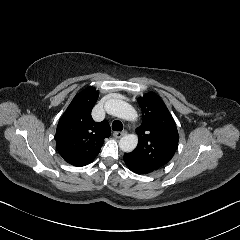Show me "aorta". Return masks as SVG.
I'll return each instance as SVG.
<instances>
[{
    "label": "aorta",
    "mask_w": 240,
    "mask_h": 240,
    "mask_svg": "<svg viewBox=\"0 0 240 240\" xmlns=\"http://www.w3.org/2000/svg\"><path fill=\"white\" fill-rule=\"evenodd\" d=\"M105 109L109 114L126 121L135 122L137 119L136 109L126 102L112 99L106 103ZM138 143L139 136L137 133H127L120 139L119 146L121 150L131 152L137 147Z\"/></svg>",
    "instance_id": "aorta-1"
}]
</instances>
